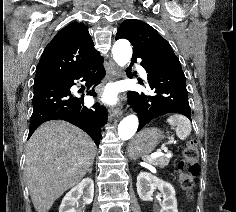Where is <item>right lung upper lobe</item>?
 Instances as JSON below:
<instances>
[{"instance_id": "1", "label": "right lung upper lobe", "mask_w": 236, "mask_h": 212, "mask_svg": "<svg viewBox=\"0 0 236 212\" xmlns=\"http://www.w3.org/2000/svg\"><path fill=\"white\" fill-rule=\"evenodd\" d=\"M100 59L87 27L73 22L61 29L46 46L36 68L35 80L69 78Z\"/></svg>"}]
</instances>
